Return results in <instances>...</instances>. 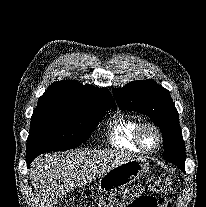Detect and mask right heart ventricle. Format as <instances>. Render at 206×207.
I'll use <instances>...</instances> for the list:
<instances>
[{"mask_svg": "<svg viewBox=\"0 0 206 207\" xmlns=\"http://www.w3.org/2000/svg\"><path fill=\"white\" fill-rule=\"evenodd\" d=\"M140 121L135 117L118 115L111 119L108 130L110 144L123 151L141 153L135 142V130Z\"/></svg>", "mask_w": 206, "mask_h": 207, "instance_id": "e07e8e85", "label": "right heart ventricle"}]
</instances>
